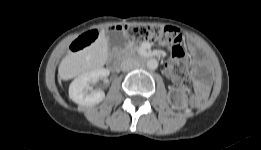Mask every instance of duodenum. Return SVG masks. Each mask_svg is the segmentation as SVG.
Wrapping results in <instances>:
<instances>
[{
	"mask_svg": "<svg viewBox=\"0 0 261 150\" xmlns=\"http://www.w3.org/2000/svg\"><path fill=\"white\" fill-rule=\"evenodd\" d=\"M110 65H111V67H112L114 70L118 69V67H119V58H118V57H113V58L111 59V61H110Z\"/></svg>",
	"mask_w": 261,
	"mask_h": 150,
	"instance_id": "410a0bca",
	"label": "duodenum"
}]
</instances>
